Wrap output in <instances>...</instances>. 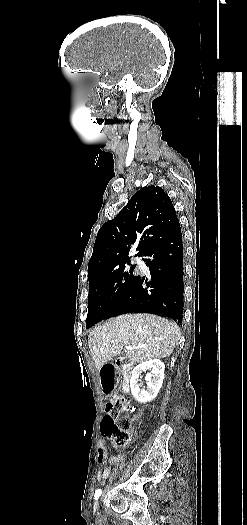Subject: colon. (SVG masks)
<instances>
[{
	"label": "colon",
	"mask_w": 247,
	"mask_h": 525,
	"mask_svg": "<svg viewBox=\"0 0 247 525\" xmlns=\"http://www.w3.org/2000/svg\"><path fill=\"white\" fill-rule=\"evenodd\" d=\"M126 399L122 396L110 398L106 404V414L103 418V428L100 435L103 438H110L116 444L125 445L129 435L131 421L125 415Z\"/></svg>",
	"instance_id": "5ec220e1"
}]
</instances>
